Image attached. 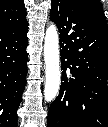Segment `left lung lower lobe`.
Wrapping results in <instances>:
<instances>
[{"instance_id": "obj_1", "label": "left lung lower lobe", "mask_w": 108, "mask_h": 127, "mask_svg": "<svg viewBox=\"0 0 108 127\" xmlns=\"http://www.w3.org/2000/svg\"><path fill=\"white\" fill-rule=\"evenodd\" d=\"M62 78L47 127H108V27L103 10L84 0H52Z\"/></svg>"}]
</instances>
